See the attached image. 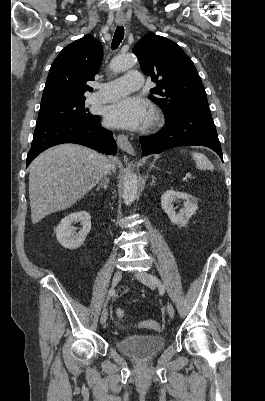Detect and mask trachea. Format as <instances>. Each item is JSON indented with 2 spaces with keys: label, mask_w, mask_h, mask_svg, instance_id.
Instances as JSON below:
<instances>
[{
  "label": "trachea",
  "mask_w": 265,
  "mask_h": 401,
  "mask_svg": "<svg viewBox=\"0 0 265 401\" xmlns=\"http://www.w3.org/2000/svg\"><path fill=\"white\" fill-rule=\"evenodd\" d=\"M124 38V28L117 27L112 41V49H116Z\"/></svg>",
  "instance_id": "3493384b"
}]
</instances>
